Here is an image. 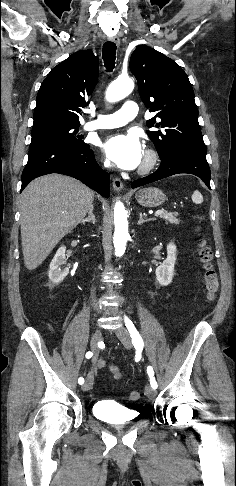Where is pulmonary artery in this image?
I'll return each mask as SVG.
<instances>
[{
  "instance_id": "obj_1",
  "label": "pulmonary artery",
  "mask_w": 236,
  "mask_h": 486,
  "mask_svg": "<svg viewBox=\"0 0 236 486\" xmlns=\"http://www.w3.org/2000/svg\"><path fill=\"white\" fill-rule=\"evenodd\" d=\"M138 113V106L134 101H126L120 110L112 114H100L97 119L87 122L83 129H109L121 127L134 119Z\"/></svg>"
}]
</instances>
